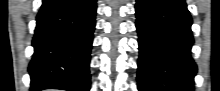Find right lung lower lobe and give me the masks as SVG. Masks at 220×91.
<instances>
[{
    "instance_id": "1",
    "label": "right lung lower lobe",
    "mask_w": 220,
    "mask_h": 91,
    "mask_svg": "<svg viewBox=\"0 0 220 91\" xmlns=\"http://www.w3.org/2000/svg\"><path fill=\"white\" fill-rule=\"evenodd\" d=\"M96 0H43L28 66L31 91H89Z\"/></svg>"
}]
</instances>
